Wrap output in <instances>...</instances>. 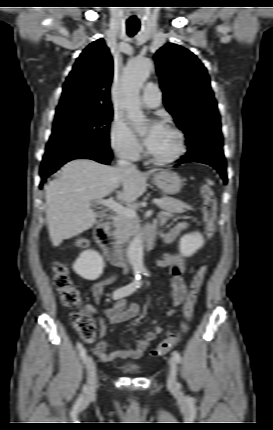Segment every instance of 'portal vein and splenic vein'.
<instances>
[{"label":"portal vein and splenic vein","instance_id":"obj_1","mask_svg":"<svg viewBox=\"0 0 273 430\" xmlns=\"http://www.w3.org/2000/svg\"><path fill=\"white\" fill-rule=\"evenodd\" d=\"M97 203L102 204L108 208H110L111 210H113L114 212L121 214V215H125L128 217H135L136 216V210L134 208H126L123 205H121L120 203H117L116 201H114L112 198L109 199H101L98 200ZM154 204L157 205H161L163 203L162 199H154L153 200Z\"/></svg>","mask_w":273,"mask_h":430}]
</instances>
